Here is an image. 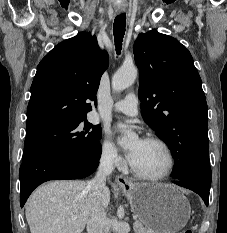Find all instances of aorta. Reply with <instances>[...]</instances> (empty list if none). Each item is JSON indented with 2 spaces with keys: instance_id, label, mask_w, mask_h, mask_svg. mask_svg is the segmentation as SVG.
Listing matches in <instances>:
<instances>
[{
  "instance_id": "aorta-1",
  "label": "aorta",
  "mask_w": 227,
  "mask_h": 233,
  "mask_svg": "<svg viewBox=\"0 0 227 233\" xmlns=\"http://www.w3.org/2000/svg\"><path fill=\"white\" fill-rule=\"evenodd\" d=\"M138 71L135 67H122L112 77V89L114 91H122L130 87L136 80ZM123 130V137L120 141L122 146H126L129 141L135 138V134L125 125H119Z\"/></svg>"
}]
</instances>
